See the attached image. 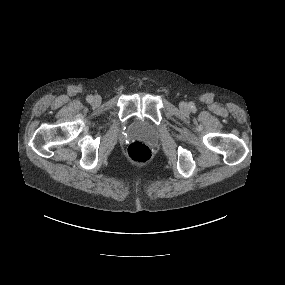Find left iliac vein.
<instances>
[{
	"instance_id": "1",
	"label": "left iliac vein",
	"mask_w": 285,
	"mask_h": 285,
	"mask_svg": "<svg viewBox=\"0 0 285 285\" xmlns=\"http://www.w3.org/2000/svg\"><path fill=\"white\" fill-rule=\"evenodd\" d=\"M179 108H180L181 111L186 112V111H188L189 106H188V104L186 102H181L180 105H179Z\"/></svg>"
}]
</instances>
